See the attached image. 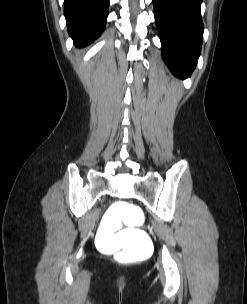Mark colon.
<instances>
[{
    "instance_id": "1",
    "label": "colon",
    "mask_w": 247,
    "mask_h": 304,
    "mask_svg": "<svg viewBox=\"0 0 247 304\" xmlns=\"http://www.w3.org/2000/svg\"><path fill=\"white\" fill-rule=\"evenodd\" d=\"M103 215L95 233L99 253H120V259H152L155 241L141 229L147 219L140 202H113Z\"/></svg>"
}]
</instances>
